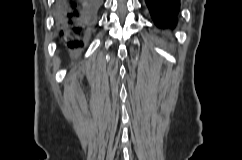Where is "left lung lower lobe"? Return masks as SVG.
Segmentation results:
<instances>
[{
    "label": "left lung lower lobe",
    "instance_id": "obj_1",
    "mask_svg": "<svg viewBox=\"0 0 242 160\" xmlns=\"http://www.w3.org/2000/svg\"><path fill=\"white\" fill-rule=\"evenodd\" d=\"M152 19L161 28H174L180 9V0H145Z\"/></svg>",
    "mask_w": 242,
    "mask_h": 160
}]
</instances>
